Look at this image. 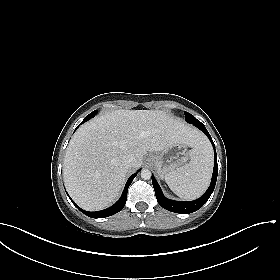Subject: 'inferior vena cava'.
I'll return each mask as SVG.
<instances>
[{"label": "inferior vena cava", "mask_w": 280, "mask_h": 280, "mask_svg": "<svg viewBox=\"0 0 280 280\" xmlns=\"http://www.w3.org/2000/svg\"><path fill=\"white\" fill-rule=\"evenodd\" d=\"M135 161V157L133 155H126L123 158V163L127 168L132 167L133 163Z\"/></svg>", "instance_id": "inferior-vena-cava-1"}]
</instances>
